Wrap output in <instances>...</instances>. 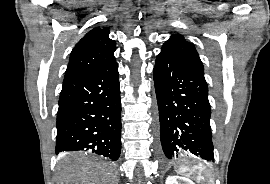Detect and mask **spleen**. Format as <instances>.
<instances>
[{"instance_id":"spleen-1","label":"spleen","mask_w":270,"mask_h":184,"mask_svg":"<svg viewBox=\"0 0 270 184\" xmlns=\"http://www.w3.org/2000/svg\"><path fill=\"white\" fill-rule=\"evenodd\" d=\"M177 173L188 178H195L198 184H212L211 174L202 164H198L191 168H181V170Z\"/></svg>"}]
</instances>
